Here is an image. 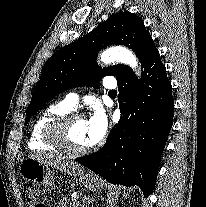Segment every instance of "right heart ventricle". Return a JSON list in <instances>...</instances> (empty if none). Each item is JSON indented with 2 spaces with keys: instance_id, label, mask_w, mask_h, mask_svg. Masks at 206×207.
Wrapping results in <instances>:
<instances>
[{
  "instance_id": "e07e8e85",
  "label": "right heart ventricle",
  "mask_w": 206,
  "mask_h": 207,
  "mask_svg": "<svg viewBox=\"0 0 206 207\" xmlns=\"http://www.w3.org/2000/svg\"><path fill=\"white\" fill-rule=\"evenodd\" d=\"M70 111H72V109L64 101L49 104L37 116L30 130L28 137V148L31 151H56L57 149L50 145L45 139V128L54 118Z\"/></svg>"
}]
</instances>
